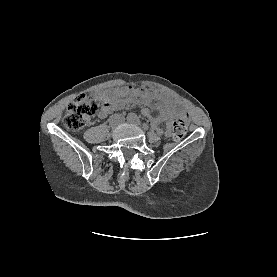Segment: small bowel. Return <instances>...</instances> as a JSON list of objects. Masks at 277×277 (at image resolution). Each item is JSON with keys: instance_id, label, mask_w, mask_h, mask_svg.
<instances>
[{"instance_id": "c3829d8e", "label": "small bowel", "mask_w": 277, "mask_h": 277, "mask_svg": "<svg viewBox=\"0 0 277 277\" xmlns=\"http://www.w3.org/2000/svg\"><path fill=\"white\" fill-rule=\"evenodd\" d=\"M101 101V109L98 113L99 118L107 117L114 110L124 108L129 102L137 100L158 110L160 115L154 117L150 115L148 107H144L141 112L150 118L152 127L157 133L163 132L160 127L161 122H166L167 127L165 134L170 136L172 120L180 113L177 102L171 94L149 89H134L133 87H125L111 91H104L99 95ZM188 118L187 114L183 115Z\"/></svg>"}]
</instances>
